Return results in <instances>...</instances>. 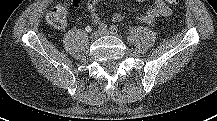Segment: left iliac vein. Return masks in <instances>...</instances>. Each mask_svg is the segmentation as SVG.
<instances>
[{"mask_svg": "<svg viewBox=\"0 0 217 121\" xmlns=\"http://www.w3.org/2000/svg\"><path fill=\"white\" fill-rule=\"evenodd\" d=\"M101 34L102 35H112L113 33L110 32V31H108V30H106V31H103Z\"/></svg>", "mask_w": 217, "mask_h": 121, "instance_id": "1", "label": "left iliac vein"}]
</instances>
